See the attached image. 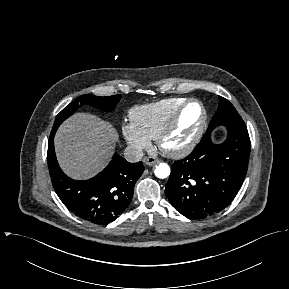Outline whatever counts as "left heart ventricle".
Segmentation results:
<instances>
[{
  "mask_svg": "<svg viewBox=\"0 0 289 289\" xmlns=\"http://www.w3.org/2000/svg\"><path fill=\"white\" fill-rule=\"evenodd\" d=\"M202 120V111L198 104L191 103L184 110L179 125L169 137V147H180L186 144L196 133Z\"/></svg>",
  "mask_w": 289,
  "mask_h": 289,
  "instance_id": "obj_1",
  "label": "left heart ventricle"
}]
</instances>
